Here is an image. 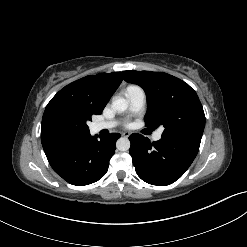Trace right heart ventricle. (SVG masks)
<instances>
[{"label": "right heart ventricle", "instance_id": "e07e8e85", "mask_svg": "<svg viewBox=\"0 0 247 247\" xmlns=\"http://www.w3.org/2000/svg\"><path fill=\"white\" fill-rule=\"evenodd\" d=\"M132 87H136V86H129L128 88H132Z\"/></svg>", "mask_w": 247, "mask_h": 247}]
</instances>
